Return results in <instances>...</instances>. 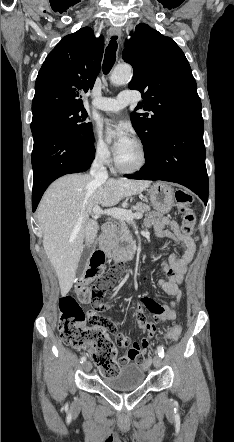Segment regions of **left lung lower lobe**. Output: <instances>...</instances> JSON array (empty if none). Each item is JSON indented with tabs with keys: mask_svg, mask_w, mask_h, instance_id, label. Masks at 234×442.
<instances>
[{
	"mask_svg": "<svg viewBox=\"0 0 234 442\" xmlns=\"http://www.w3.org/2000/svg\"><path fill=\"white\" fill-rule=\"evenodd\" d=\"M203 128L202 116L184 119L169 126L160 135L141 171L126 177L179 183L191 189L206 203L208 176Z\"/></svg>",
	"mask_w": 234,
	"mask_h": 442,
	"instance_id": "left-lung-lower-lobe-1",
	"label": "left lung lower lobe"
}]
</instances>
